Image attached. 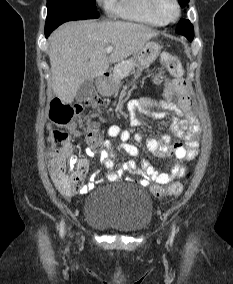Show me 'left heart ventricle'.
Masks as SVG:
<instances>
[{
  "label": "left heart ventricle",
  "instance_id": "b2bd125f",
  "mask_svg": "<svg viewBox=\"0 0 233 284\" xmlns=\"http://www.w3.org/2000/svg\"><path fill=\"white\" fill-rule=\"evenodd\" d=\"M161 12L162 15L166 18V19H170L174 16L175 14V7L174 5L169 2L168 0H163L162 4H161Z\"/></svg>",
  "mask_w": 233,
  "mask_h": 284
}]
</instances>
